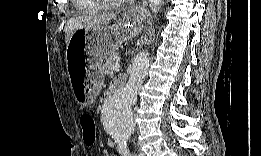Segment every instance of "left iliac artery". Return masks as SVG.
Listing matches in <instances>:
<instances>
[{
  "mask_svg": "<svg viewBox=\"0 0 261 156\" xmlns=\"http://www.w3.org/2000/svg\"><path fill=\"white\" fill-rule=\"evenodd\" d=\"M117 143H118V149H119V151L122 155L136 156V154L130 153L128 146H127V140L126 139L118 140Z\"/></svg>",
  "mask_w": 261,
  "mask_h": 156,
  "instance_id": "left-iliac-artery-1",
  "label": "left iliac artery"
}]
</instances>
